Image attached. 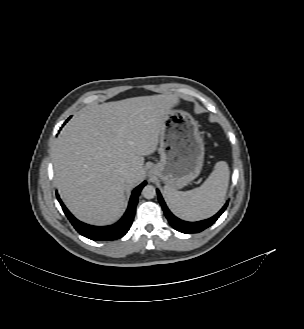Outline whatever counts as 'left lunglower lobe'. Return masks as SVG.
Instances as JSON below:
<instances>
[{"label": "left lung lower lobe", "mask_w": 304, "mask_h": 329, "mask_svg": "<svg viewBox=\"0 0 304 329\" xmlns=\"http://www.w3.org/2000/svg\"><path fill=\"white\" fill-rule=\"evenodd\" d=\"M157 193H158L159 202L163 208L164 214L166 215V218L168 219L169 223L174 229L182 233H198L208 228L213 223H215V221L220 217V215L224 212V210L228 205V202H226L223 208L217 214H215L213 217L209 219L198 221V222H186L174 216L167 208L160 192L157 191Z\"/></svg>", "instance_id": "0a47b994"}]
</instances>
